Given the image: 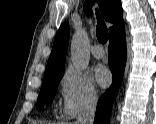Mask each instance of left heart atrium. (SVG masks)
I'll use <instances>...</instances> for the list:
<instances>
[{"mask_svg":"<svg viewBox=\"0 0 156 124\" xmlns=\"http://www.w3.org/2000/svg\"><path fill=\"white\" fill-rule=\"evenodd\" d=\"M94 77L97 84L102 88L109 86L112 81V75L109 69L103 65H98L95 68Z\"/></svg>","mask_w":156,"mask_h":124,"instance_id":"1","label":"left heart atrium"}]
</instances>
